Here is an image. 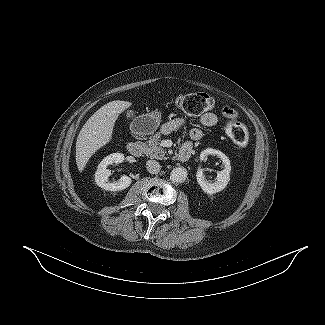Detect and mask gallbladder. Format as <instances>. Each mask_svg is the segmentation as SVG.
I'll return each mask as SVG.
<instances>
[{
	"label": "gallbladder",
	"instance_id": "gallbladder-1",
	"mask_svg": "<svg viewBox=\"0 0 325 325\" xmlns=\"http://www.w3.org/2000/svg\"><path fill=\"white\" fill-rule=\"evenodd\" d=\"M126 116L129 117V118L133 117L134 116V111L128 110L127 113H126Z\"/></svg>",
	"mask_w": 325,
	"mask_h": 325
}]
</instances>
